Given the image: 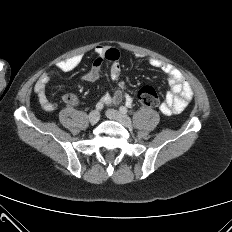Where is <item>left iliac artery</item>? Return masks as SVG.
Wrapping results in <instances>:
<instances>
[{
    "instance_id": "left-iliac-artery-1",
    "label": "left iliac artery",
    "mask_w": 232,
    "mask_h": 232,
    "mask_svg": "<svg viewBox=\"0 0 232 232\" xmlns=\"http://www.w3.org/2000/svg\"><path fill=\"white\" fill-rule=\"evenodd\" d=\"M119 110L121 113H124V114H126L128 112V109L124 106H121Z\"/></svg>"
}]
</instances>
